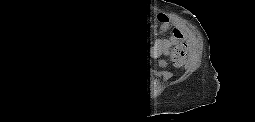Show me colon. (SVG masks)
Segmentation results:
<instances>
[{
    "label": "colon",
    "instance_id": "1",
    "mask_svg": "<svg viewBox=\"0 0 255 122\" xmlns=\"http://www.w3.org/2000/svg\"><path fill=\"white\" fill-rule=\"evenodd\" d=\"M126 15L129 18H135L138 17L136 10H126ZM185 56V46L183 42L180 39V34L178 30L173 29L172 30V44L169 50V57L172 61L181 64L183 58Z\"/></svg>",
    "mask_w": 255,
    "mask_h": 122
}]
</instances>
